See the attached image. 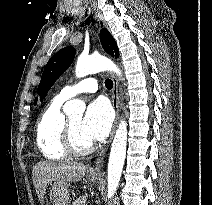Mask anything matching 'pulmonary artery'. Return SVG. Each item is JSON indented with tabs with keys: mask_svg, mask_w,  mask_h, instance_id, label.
<instances>
[{
	"mask_svg": "<svg viewBox=\"0 0 212 205\" xmlns=\"http://www.w3.org/2000/svg\"><path fill=\"white\" fill-rule=\"evenodd\" d=\"M98 90V82L95 78H86L74 85L64 87L58 94L63 100H68L82 93H95Z\"/></svg>",
	"mask_w": 212,
	"mask_h": 205,
	"instance_id": "e3ab8cb5",
	"label": "pulmonary artery"
}]
</instances>
